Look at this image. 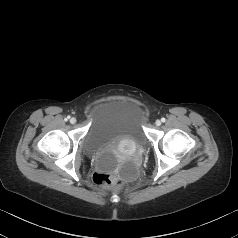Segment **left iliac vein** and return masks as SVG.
<instances>
[{
    "label": "left iliac vein",
    "instance_id": "4c4485c4",
    "mask_svg": "<svg viewBox=\"0 0 238 238\" xmlns=\"http://www.w3.org/2000/svg\"><path fill=\"white\" fill-rule=\"evenodd\" d=\"M155 124H156L157 126H160V125H161V121H160V120H156Z\"/></svg>",
    "mask_w": 238,
    "mask_h": 238
}]
</instances>
